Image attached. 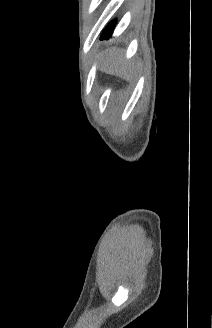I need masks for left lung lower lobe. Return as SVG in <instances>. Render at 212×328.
<instances>
[{
  "label": "left lung lower lobe",
  "instance_id": "0a47b994",
  "mask_svg": "<svg viewBox=\"0 0 212 328\" xmlns=\"http://www.w3.org/2000/svg\"><path fill=\"white\" fill-rule=\"evenodd\" d=\"M115 27V21L111 22L105 30L102 32L100 39H109L112 36L113 29Z\"/></svg>",
  "mask_w": 212,
  "mask_h": 328
}]
</instances>
